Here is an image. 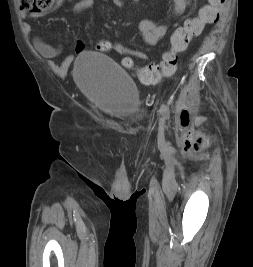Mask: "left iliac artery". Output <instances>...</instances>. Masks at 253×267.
Masks as SVG:
<instances>
[{
	"label": "left iliac artery",
	"instance_id": "obj_1",
	"mask_svg": "<svg viewBox=\"0 0 253 267\" xmlns=\"http://www.w3.org/2000/svg\"><path fill=\"white\" fill-rule=\"evenodd\" d=\"M160 113L162 114V116L164 117V119L166 120H169V117H170V110L169 108L162 104L161 107H160Z\"/></svg>",
	"mask_w": 253,
	"mask_h": 267
}]
</instances>
